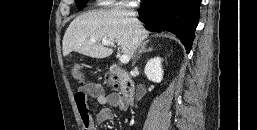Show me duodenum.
<instances>
[{"label": "duodenum", "mask_w": 257, "mask_h": 130, "mask_svg": "<svg viewBox=\"0 0 257 130\" xmlns=\"http://www.w3.org/2000/svg\"><path fill=\"white\" fill-rule=\"evenodd\" d=\"M110 69L119 76L121 81V94L127 105L131 104L135 95V84L131 76L123 69L112 65Z\"/></svg>", "instance_id": "duodenum-1"}]
</instances>
